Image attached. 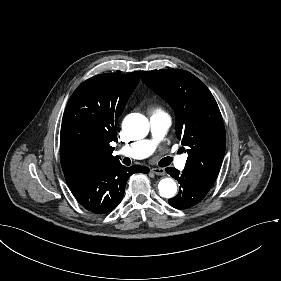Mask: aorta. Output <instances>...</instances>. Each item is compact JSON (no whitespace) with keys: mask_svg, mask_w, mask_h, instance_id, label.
<instances>
[{"mask_svg":"<svg viewBox=\"0 0 281 281\" xmlns=\"http://www.w3.org/2000/svg\"><path fill=\"white\" fill-rule=\"evenodd\" d=\"M123 129L135 140L144 138L149 132L148 119L138 113L128 115L123 122ZM160 196L173 198L177 193V185L171 178H164L158 184Z\"/></svg>","mask_w":281,"mask_h":281,"instance_id":"1","label":"aorta"}]
</instances>
